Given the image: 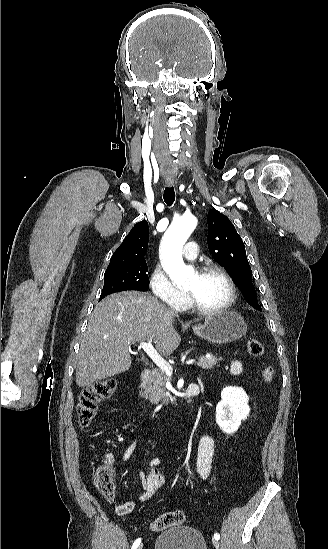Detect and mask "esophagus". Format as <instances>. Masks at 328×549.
I'll use <instances>...</instances> for the list:
<instances>
[{"instance_id": "34e87169", "label": "esophagus", "mask_w": 328, "mask_h": 549, "mask_svg": "<svg viewBox=\"0 0 328 549\" xmlns=\"http://www.w3.org/2000/svg\"><path fill=\"white\" fill-rule=\"evenodd\" d=\"M166 185L171 187L174 184V180H165Z\"/></svg>"}]
</instances>
